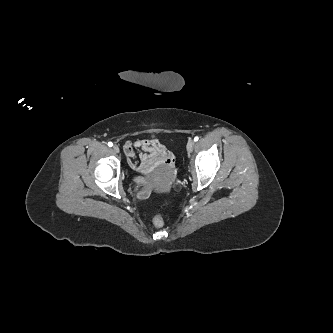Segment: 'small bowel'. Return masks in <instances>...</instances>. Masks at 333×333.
<instances>
[{
  "mask_svg": "<svg viewBox=\"0 0 333 333\" xmlns=\"http://www.w3.org/2000/svg\"><path fill=\"white\" fill-rule=\"evenodd\" d=\"M124 153L129 166L140 173H147L156 167H170L174 157L170 150L157 139H140L127 141ZM150 194V187L145 186L139 193L141 198Z\"/></svg>",
  "mask_w": 333,
  "mask_h": 333,
  "instance_id": "obj_1",
  "label": "small bowel"
}]
</instances>
